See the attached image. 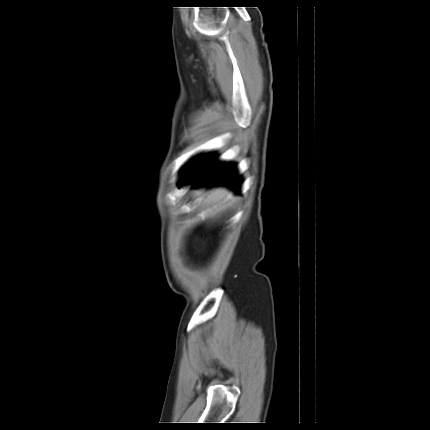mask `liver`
Instances as JSON below:
<instances>
[{"instance_id":"1","label":"liver","mask_w":430,"mask_h":430,"mask_svg":"<svg viewBox=\"0 0 430 430\" xmlns=\"http://www.w3.org/2000/svg\"><path fill=\"white\" fill-rule=\"evenodd\" d=\"M226 194V190L219 188L209 192L203 199V205L208 208L211 217L227 208L228 204H225L224 200Z\"/></svg>"}]
</instances>
